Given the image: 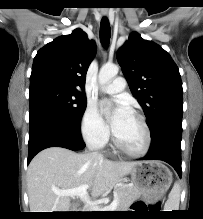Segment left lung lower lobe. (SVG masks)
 <instances>
[{"instance_id":"1","label":"left lung lower lobe","mask_w":203,"mask_h":219,"mask_svg":"<svg viewBox=\"0 0 203 219\" xmlns=\"http://www.w3.org/2000/svg\"><path fill=\"white\" fill-rule=\"evenodd\" d=\"M182 121H172L151 137L148 154L140 160H162L170 164L182 176L181 169Z\"/></svg>"}]
</instances>
